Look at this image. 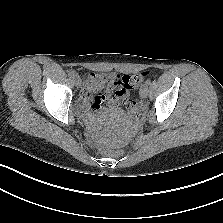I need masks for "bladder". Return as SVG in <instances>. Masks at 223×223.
Wrapping results in <instances>:
<instances>
[{
	"label": "bladder",
	"mask_w": 223,
	"mask_h": 223,
	"mask_svg": "<svg viewBox=\"0 0 223 223\" xmlns=\"http://www.w3.org/2000/svg\"><path fill=\"white\" fill-rule=\"evenodd\" d=\"M115 110H108V111H105L106 113L108 114H113Z\"/></svg>",
	"instance_id": "31cf9c89"
}]
</instances>
